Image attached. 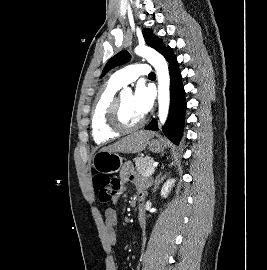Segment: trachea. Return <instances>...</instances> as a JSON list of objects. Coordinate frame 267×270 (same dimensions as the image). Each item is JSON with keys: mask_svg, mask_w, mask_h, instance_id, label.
<instances>
[{"mask_svg": "<svg viewBox=\"0 0 267 270\" xmlns=\"http://www.w3.org/2000/svg\"><path fill=\"white\" fill-rule=\"evenodd\" d=\"M149 75H150V76H155V73H154V72H152V73H150Z\"/></svg>", "mask_w": 267, "mask_h": 270, "instance_id": "1", "label": "trachea"}]
</instances>
